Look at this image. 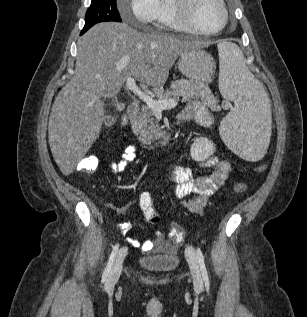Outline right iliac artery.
I'll use <instances>...</instances> for the list:
<instances>
[{
	"label": "right iliac artery",
	"instance_id": "right-iliac-artery-1",
	"mask_svg": "<svg viewBox=\"0 0 307 317\" xmlns=\"http://www.w3.org/2000/svg\"><path fill=\"white\" fill-rule=\"evenodd\" d=\"M118 250H119V244H116L114 246L112 252H111V255H110V258L108 260V263H107V265H106V267H105V269L103 271L102 282H104L107 279V277H108V275L110 273V270H111V268L113 266V263L115 261V258L117 256Z\"/></svg>",
	"mask_w": 307,
	"mask_h": 317
}]
</instances>
